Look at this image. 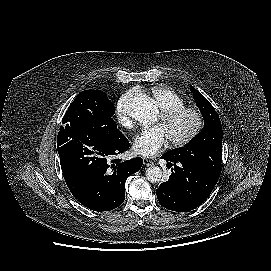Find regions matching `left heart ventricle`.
<instances>
[{
  "label": "left heart ventricle",
  "mask_w": 271,
  "mask_h": 271,
  "mask_svg": "<svg viewBox=\"0 0 271 271\" xmlns=\"http://www.w3.org/2000/svg\"><path fill=\"white\" fill-rule=\"evenodd\" d=\"M158 122L166 130L168 137H179L187 133L193 126V119L189 115L181 116L169 123H163L160 116Z\"/></svg>",
  "instance_id": "obj_1"
}]
</instances>
